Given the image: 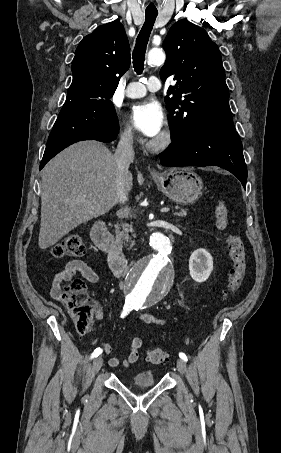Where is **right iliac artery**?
<instances>
[{"mask_svg": "<svg viewBox=\"0 0 281 453\" xmlns=\"http://www.w3.org/2000/svg\"><path fill=\"white\" fill-rule=\"evenodd\" d=\"M123 309H124V311L121 314L122 318L125 317L133 309V307L131 305L125 304ZM102 351L103 350L100 347L96 348L94 350V352L91 354V359L97 357L98 355H100L102 353Z\"/></svg>", "mask_w": 281, "mask_h": 453, "instance_id": "right-iliac-artery-1", "label": "right iliac artery"}]
</instances>
